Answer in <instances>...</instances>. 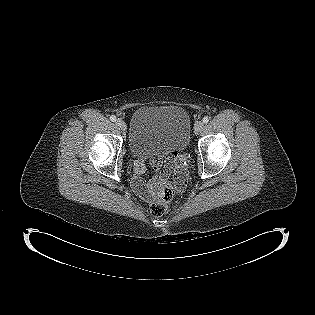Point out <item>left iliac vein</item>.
Listing matches in <instances>:
<instances>
[{"instance_id":"1","label":"left iliac vein","mask_w":315,"mask_h":315,"mask_svg":"<svg viewBox=\"0 0 315 315\" xmlns=\"http://www.w3.org/2000/svg\"><path fill=\"white\" fill-rule=\"evenodd\" d=\"M203 127H204L203 122H201V121L197 122V123L195 124V126H194V132H195L196 134L200 133V132L202 131Z\"/></svg>"}]
</instances>
